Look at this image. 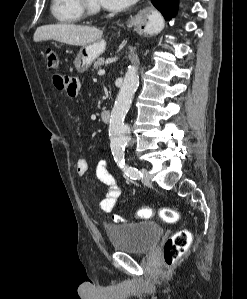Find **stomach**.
Masks as SVG:
<instances>
[{
  "instance_id": "stomach-1",
  "label": "stomach",
  "mask_w": 247,
  "mask_h": 299,
  "mask_svg": "<svg viewBox=\"0 0 247 299\" xmlns=\"http://www.w3.org/2000/svg\"><path fill=\"white\" fill-rule=\"evenodd\" d=\"M105 41L98 40L83 46L77 54L74 66L79 73H84L92 63L104 52Z\"/></svg>"
}]
</instances>
